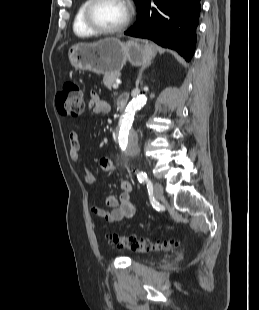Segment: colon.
I'll return each mask as SVG.
<instances>
[{
	"label": "colon",
	"instance_id": "1",
	"mask_svg": "<svg viewBox=\"0 0 259 310\" xmlns=\"http://www.w3.org/2000/svg\"><path fill=\"white\" fill-rule=\"evenodd\" d=\"M56 104L63 114L71 116L82 114L84 98L80 86L74 81L66 82L56 94ZM108 242L118 249H129L135 253L169 250L176 245V242L172 240L151 241L135 235H120L116 233L108 236Z\"/></svg>",
	"mask_w": 259,
	"mask_h": 310
}]
</instances>
